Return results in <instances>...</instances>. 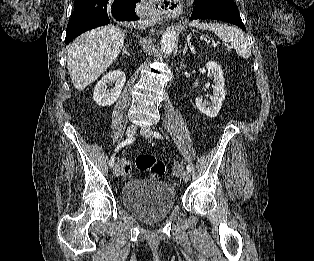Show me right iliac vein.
<instances>
[{
  "instance_id": "obj_1",
  "label": "right iliac vein",
  "mask_w": 314,
  "mask_h": 261,
  "mask_svg": "<svg viewBox=\"0 0 314 261\" xmlns=\"http://www.w3.org/2000/svg\"><path fill=\"white\" fill-rule=\"evenodd\" d=\"M136 129H137V127L135 125H130L126 130V136L128 138L132 137L136 133ZM120 173H121V168H120L119 164L116 163L114 165V168H113V174H114V176L118 177L120 175Z\"/></svg>"
}]
</instances>
